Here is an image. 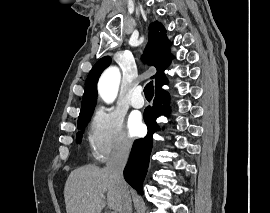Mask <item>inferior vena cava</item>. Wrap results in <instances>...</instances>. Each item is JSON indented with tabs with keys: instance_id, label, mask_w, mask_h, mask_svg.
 I'll use <instances>...</instances> for the list:
<instances>
[{
	"instance_id": "602c4592",
	"label": "inferior vena cava",
	"mask_w": 270,
	"mask_h": 213,
	"mask_svg": "<svg viewBox=\"0 0 270 213\" xmlns=\"http://www.w3.org/2000/svg\"><path fill=\"white\" fill-rule=\"evenodd\" d=\"M130 151L128 142H120L113 149L106 164V170L117 182L121 193V208L119 213H132L131 197L128 186L123 177V170L126 165Z\"/></svg>"
}]
</instances>
